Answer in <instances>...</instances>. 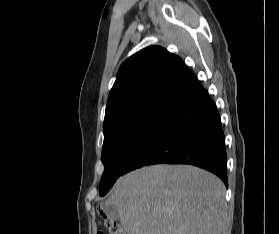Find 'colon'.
Segmentation results:
<instances>
[{
	"mask_svg": "<svg viewBox=\"0 0 279 234\" xmlns=\"http://www.w3.org/2000/svg\"><path fill=\"white\" fill-rule=\"evenodd\" d=\"M98 234H125L121 225L113 220H105V230Z\"/></svg>",
	"mask_w": 279,
	"mask_h": 234,
	"instance_id": "obj_1",
	"label": "colon"
}]
</instances>
